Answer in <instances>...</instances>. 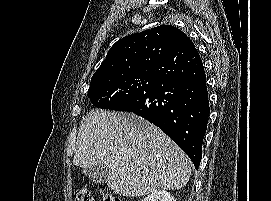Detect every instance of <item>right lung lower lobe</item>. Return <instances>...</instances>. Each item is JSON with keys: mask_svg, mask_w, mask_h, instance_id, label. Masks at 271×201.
I'll list each match as a JSON object with an SVG mask.
<instances>
[{"mask_svg": "<svg viewBox=\"0 0 271 201\" xmlns=\"http://www.w3.org/2000/svg\"><path fill=\"white\" fill-rule=\"evenodd\" d=\"M151 86L118 111L133 112L164 131L198 169L210 113L202 60L187 37L152 70Z\"/></svg>", "mask_w": 271, "mask_h": 201, "instance_id": "98d812e1", "label": "right lung lower lobe"}]
</instances>
